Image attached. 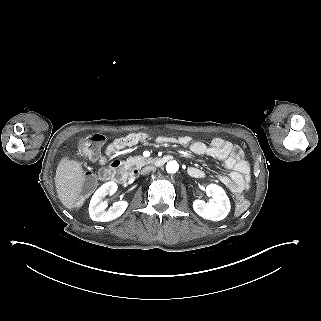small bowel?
Returning <instances> with one entry per match:
<instances>
[{
  "label": "small bowel",
  "instance_id": "1",
  "mask_svg": "<svg viewBox=\"0 0 321 321\" xmlns=\"http://www.w3.org/2000/svg\"><path fill=\"white\" fill-rule=\"evenodd\" d=\"M149 139L146 133H132L125 137L115 139L106 148V155L110 156L117 150L134 146ZM159 144L176 143L189 146L191 152L197 155H206L221 160L226 169L230 170L228 175H220L219 180L230 191L240 193L247 190L250 183V165L244 159L243 152L239 146L222 138H214L210 144L201 141H193L189 136L167 137L159 136L155 139ZM107 174V171H103ZM189 173L196 178L204 177L205 173L198 167H190Z\"/></svg>",
  "mask_w": 321,
  "mask_h": 321
}]
</instances>
